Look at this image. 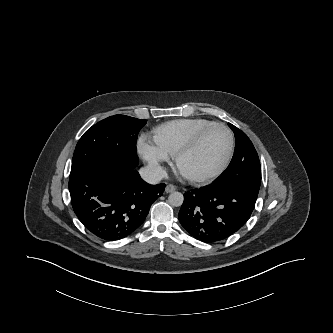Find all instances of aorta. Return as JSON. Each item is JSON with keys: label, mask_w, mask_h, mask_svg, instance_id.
Instances as JSON below:
<instances>
[{"label": "aorta", "mask_w": 333, "mask_h": 333, "mask_svg": "<svg viewBox=\"0 0 333 333\" xmlns=\"http://www.w3.org/2000/svg\"><path fill=\"white\" fill-rule=\"evenodd\" d=\"M183 200H184L183 194L180 192H172L168 197L169 203L175 207L181 206Z\"/></svg>", "instance_id": "762f6f07"}]
</instances>
